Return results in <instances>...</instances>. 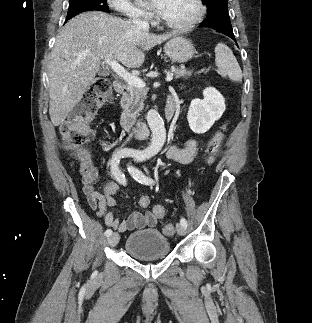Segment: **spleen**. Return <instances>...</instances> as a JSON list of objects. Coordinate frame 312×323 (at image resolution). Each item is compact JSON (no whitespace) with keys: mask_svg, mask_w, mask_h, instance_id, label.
Instances as JSON below:
<instances>
[{"mask_svg":"<svg viewBox=\"0 0 312 323\" xmlns=\"http://www.w3.org/2000/svg\"><path fill=\"white\" fill-rule=\"evenodd\" d=\"M214 52L215 64L221 76H228L233 82H242L241 68L232 50L226 44H217Z\"/></svg>","mask_w":312,"mask_h":323,"instance_id":"1","label":"spleen"}]
</instances>
